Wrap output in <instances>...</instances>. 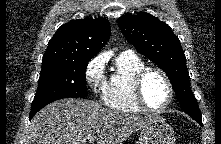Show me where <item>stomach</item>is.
Listing matches in <instances>:
<instances>
[{
  "mask_svg": "<svg viewBox=\"0 0 221 144\" xmlns=\"http://www.w3.org/2000/svg\"><path fill=\"white\" fill-rule=\"evenodd\" d=\"M173 128L161 117L154 118L141 129L139 144H174Z\"/></svg>",
  "mask_w": 221,
  "mask_h": 144,
  "instance_id": "1",
  "label": "stomach"
}]
</instances>
